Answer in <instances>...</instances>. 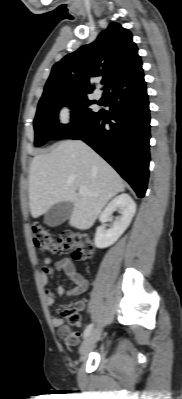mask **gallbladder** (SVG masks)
I'll use <instances>...</instances> for the list:
<instances>
[{"label":"gallbladder","instance_id":"1","mask_svg":"<svg viewBox=\"0 0 182 399\" xmlns=\"http://www.w3.org/2000/svg\"><path fill=\"white\" fill-rule=\"evenodd\" d=\"M74 209L73 202L66 201L53 205L45 214L44 223L56 227L69 219Z\"/></svg>","mask_w":182,"mask_h":399}]
</instances>
